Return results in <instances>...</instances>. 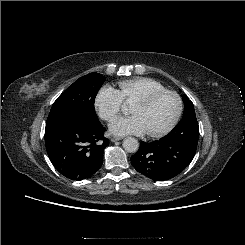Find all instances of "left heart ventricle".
<instances>
[{
	"label": "left heart ventricle",
	"instance_id": "left-heart-ventricle-1",
	"mask_svg": "<svg viewBox=\"0 0 245 245\" xmlns=\"http://www.w3.org/2000/svg\"><path fill=\"white\" fill-rule=\"evenodd\" d=\"M177 111V99L174 95L166 94L150 104L133 103L130 112L138 116L146 132H156L165 128Z\"/></svg>",
	"mask_w": 245,
	"mask_h": 245
}]
</instances>
